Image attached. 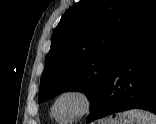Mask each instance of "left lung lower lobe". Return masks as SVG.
Listing matches in <instances>:
<instances>
[{"label": "left lung lower lobe", "instance_id": "0a47b994", "mask_svg": "<svg viewBox=\"0 0 156 124\" xmlns=\"http://www.w3.org/2000/svg\"><path fill=\"white\" fill-rule=\"evenodd\" d=\"M133 108L156 114V9L128 42L86 123Z\"/></svg>", "mask_w": 156, "mask_h": 124}]
</instances>
